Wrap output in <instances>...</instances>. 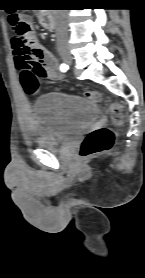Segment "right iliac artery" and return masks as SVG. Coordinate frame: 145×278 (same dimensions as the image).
Instances as JSON below:
<instances>
[{
  "instance_id": "1",
  "label": "right iliac artery",
  "mask_w": 145,
  "mask_h": 278,
  "mask_svg": "<svg viewBox=\"0 0 145 278\" xmlns=\"http://www.w3.org/2000/svg\"><path fill=\"white\" fill-rule=\"evenodd\" d=\"M60 70L62 71V72H66L67 70H68V65H66V64H61L60 65Z\"/></svg>"
}]
</instances>
